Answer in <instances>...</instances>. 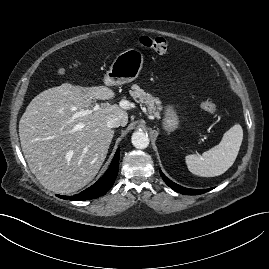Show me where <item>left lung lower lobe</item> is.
<instances>
[{
	"label": "left lung lower lobe",
	"mask_w": 269,
	"mask_h": 269,
	"mask_svg": "<svg viewBox=\"0 0 269 269\" xmlns=\"http://www.w3.org/2000/svg\"><path fill=\"white\" fill-rule=\"evenodd\" d=\"M160 175L162 176L163 180L165 181V183L171 187L173 190L182 193V194H186V195H198V194H203L205 192L210 191L213 188H209V189H189V188H185L182 187L174 182H172L171 180H169L160 170Z\"/></svg>",
	"instance_id": "obj_1"
}]
</instances>
